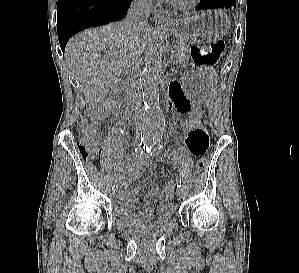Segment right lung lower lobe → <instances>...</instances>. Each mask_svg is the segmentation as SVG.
Returning <instances> with one entry per match:
<instances>
[{"instance_id":"1","label":"right lung lower lobe","mask_w":299,"mask_h":273,"mask_svg":"<svg viewBox=\"0 0 299 273\" xmlns=\"http://www.w3.org/2000/svg\"><path fill=\"white\" fill-rule=\"evenodd\" d=\"M132 0H58L57 32L62 52L71 36L121 19Z\"/></svg>"}]
</instances>
